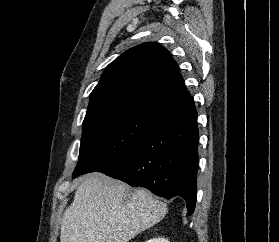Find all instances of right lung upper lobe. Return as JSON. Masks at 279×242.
I'll list each match as a JSON object with an SVG mask.
<instances>
[{"mask_svg": "<svg viewBox=\"0 0 279 242\" xmlns=\"http://www.w3.org/2000/svg\"><path fill=\"white\" fill-rule=\"evenodd\" d=\"M193 102L177 63L159 44L135 46L107 66L87 114L135 110L155 114Z\"/></svg>", "mask_w": 279, "mask_h": 242, "instance_id": "1", "label": "right lung upper lobe"}]
</instances>
